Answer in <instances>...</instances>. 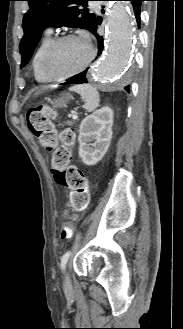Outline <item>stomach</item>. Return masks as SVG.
Wrapping results in <instances>:
<instances>
[{
  "label": "stomach",
  "instance_id": "0dacf381",
  "mask_svg": "<svg viewBox=\"0 0 183 329\" xmlns=\"http://www.w3.org/2000/svg\"><path fill=\"white\" fill-rule=\"evenodd\" d=\"M69 98H70V96L68 94H66L65 96L63 95V97L56 99L55 101H52L51 104L55 108L66 107V104H67V101L69 100Z\"/></svg>",
  "mask_w": 183,
  "mask_h": 329
}]
</instances>
